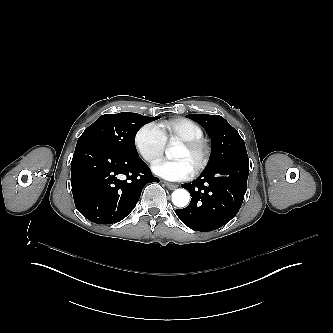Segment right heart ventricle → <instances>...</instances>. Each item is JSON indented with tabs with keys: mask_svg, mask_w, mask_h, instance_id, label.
Listing matches in <instances>:
<instances>
[{
	"mask_svg": "<svg viewBox=\"0 0 333 333\" xmlns=\"http://www.w3.org/2000/svg\"><path fill=\"white\" fill-rule=\"evenodd\" d=\"M160 132L165 139H179L181 141L201 140L203 139V131L195 122L185 119L176 118L166 124L159 126Z\"/></svg>",
	"mask_w": 333,
	"mask_h": 333,
	"instance_id": "right-heart-ventricle-1",
	"label": "right heart ventricle"
}]
</instances>
